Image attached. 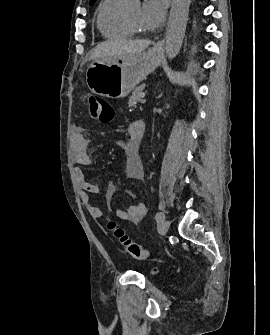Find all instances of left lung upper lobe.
I'll return each instance as SVG.
<instances>
[{
	"label": "left lung upper lobe",
	"instance_id": "obj_1",
	"mask_svg": "<svg viewBox=\"0 0 270 335\" xmlns=\"http://www.w3.org/2000/svg\"><path fill=\"white\" fill-rule=\"evenodd\" d=\"M95 2V0H90V4H93Z\"/></svg>",
	"mask_w": 270,
	"mask_h": 335
}]
</instances>
